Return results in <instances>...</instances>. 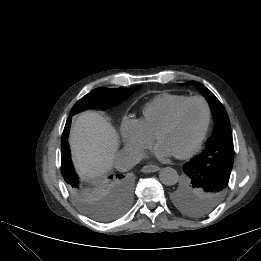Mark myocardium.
<instances>
[{
  "label": "myocardium",
  "mask_w": 261,
  "mask_h": 261,
  "mask_svg": "<svg viewBox=\"0 0 261 261\" xmlns=\"http://www.w3.org/2000/svg\"><path fill=\"white\" fill-rule=\"evenodd\" d=\"M193 101H199L204 105L205 111H206L205 123H204L203 129H202L199 137L196 139V141L186 150L175 154L176 157L181 158V159L187 158V157L191 156L193 153H195L200 148V146L202 145V143L204 142V140L207 136V133H208V130L210 127V123H211V107H210L208 101L204 97L191 96V97H188L187 99H185L183 102H181L174 109V111L171 113L169 118L162 124V126L159 128V130L157 131V133L155 135L156 140H159L160 135L167 129L171 128L176 123V121L178 120L179 115L181 114L184 107Z\"/></svg>",
  "instance_id": "1"
}]
</instances>
